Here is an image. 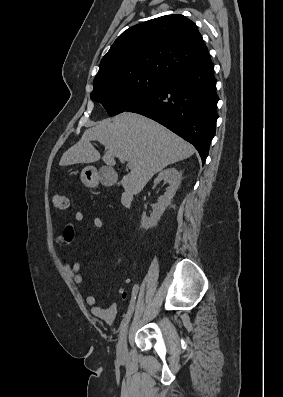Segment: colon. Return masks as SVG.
Returning <instances> with one entry per match:
<instances>
[{"label": "colon", "instance_id": "colon-1", "mask_svg": "<svg viewBox=\"0 0 283 397\" xmlns=\"http://www.w3.org/2000/svg\"><path fill=\"white\" fill-rule=\"evenodd\" d=\"M53 205L58 210H65L68 208V198L63 194H55L53 196Z\"/></svg>", "mask_w": 283, "mask_h": 397}]
</instances>
